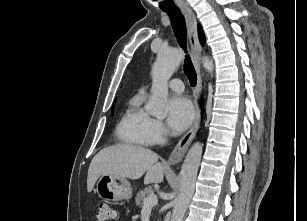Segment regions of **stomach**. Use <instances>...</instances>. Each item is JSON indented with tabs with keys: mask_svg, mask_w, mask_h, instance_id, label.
Wrapping results in <instances>:
<instances>
[{
	"mask_svg": "<svg viewBox=\"0 0 307 221\" xmlns=\"http://www.w3.org/2000/svg\"><path fill=\"white\" fill-rule=\"evenodd\" d=\"M95 191L108 201H119L132 197V188L126 178L115 175H102L97 182Z\"/></svg>",
	"mask_w": 307,
	"mask_h": 221,
	"instance_id": "1",
	"label": "stomach"
}]
</instances>
